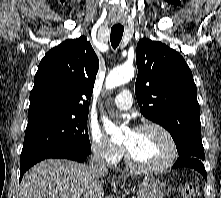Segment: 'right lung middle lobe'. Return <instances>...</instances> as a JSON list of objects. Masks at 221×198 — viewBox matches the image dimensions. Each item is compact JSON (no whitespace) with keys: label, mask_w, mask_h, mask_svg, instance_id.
<instances>
[{"label":"right lung middle lobe","mask_w":221,"mask_h":198,"mask_svg":"<svg viewBox=\"0 0 221 198\" xmlns=\"http://www.w3.org/2000/svg\"><path fill=\"white\" fill-rule=\"evenodd\" d=\"M85 116H48L29 121L20 162L50 148L74 149L91 153Z\"/></svg>","instance_id":"dd1d6c3e"}]
</instances>
